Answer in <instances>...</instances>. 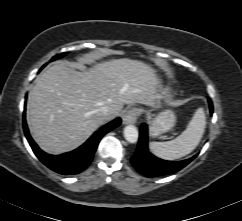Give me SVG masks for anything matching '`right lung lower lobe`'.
Wrapping results in <instances>:
<instances>
[{
  "instance_id": "right-lung-lower-lobe-1",
  "label": "right lung lower lobe",
  "mask_w": 242,
  "mask_h": 221,
  "mask_svg": "<svg viewBox=\"0 0 242 221\" xmlns=\"http://www.w3.org/2000/svg\"><path fill=\"white\" fill-rule=\"evenodd\" d=\"M23 118V128L25 136L40 161L51 170L62 175H74L84 171L93 159L95 150L99 144L100 139L109 131L120 125L121 119L116 118L110 123L106 124L100 130L96 131L82 146L62 155H49L43 152L31 138L26 120L25 113Z\"/></svg>"
}]
</instances>
